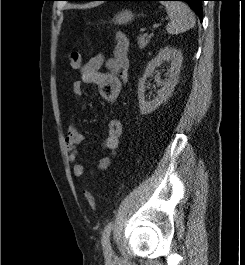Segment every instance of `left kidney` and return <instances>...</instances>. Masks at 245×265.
I'll use <instances>...</instances> for the list:
<instances>
[{
  "label": "left kidney",
  "instance_id": "1",
  "mask_svg": "<svg viewBox=\"0 0 245 265\" xmlns=\"http://www.w3.org/2000/svg\"><path fill=\"white\" fill-rule=\"evenodd\" d=\"M182 60L183 56L180 50L167 46L164 49H161L158 55L148 62L145 72L138 82L137 93L140 113L142 115L150 114L156 110L172 94L179 78ZM163 62H168L170 64L168 69V78L164 81H161L160 76H155V80L157 81L158 85H161V89L157 92V96L152 101H146V79L152 76L155 69Z\"/></svg>",
  "mask_w": 245,
  "mask_h": 265
}]
</instances>
